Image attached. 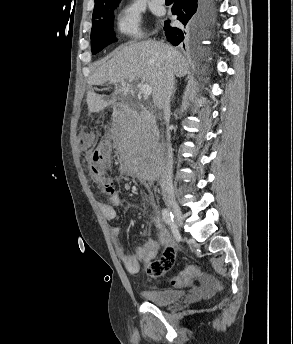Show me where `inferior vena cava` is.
<instances>
[{
	"label": "inferior vena cava",
	"instance_id": "602c4592",
	"mask_svg": "<svg viewBox=\"0 0 293 344\" xmlns=\"http://www.w3.org/2000/svg\"><path fill=\"white\" fill-rule=\"evenodd\" d=\"M174 75L168 69L165 71L163 83L159 89L157 100L155 104L158 108L162 109L163 117L166 125L170 121V97L173 90ZM164 153V166L161 172L160 186L163 197H174V189L172 185V167H173V154L170 144V132L167 130V142L162 144Z\"/></svg>",
	"mask_w": 293,
	"mask_h": 344
}]
</instances>
